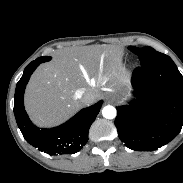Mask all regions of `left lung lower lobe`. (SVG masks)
<instances>
[{
	"label": "left lung lower lobe",
	"mask_w": 183,
	"mask_h": 183,
	"mask_svg": "<svg viewBox=\"0 0 183 183\" xmlns=\"http://www.w3.org/2000/svg\"><path fill=\"white\" fill-rule=\"evenodd\" d=\"M131 83L136 99L116 107L118 136L132 150H157L181 131L183 76L169 61L136 68Z\"/></svg>",
	"instance_id": "0a47b994"
}]
</instances>
